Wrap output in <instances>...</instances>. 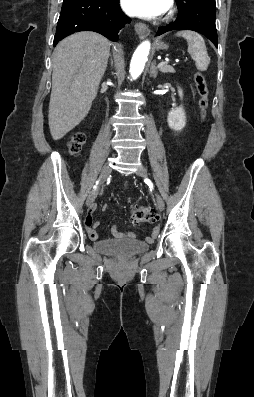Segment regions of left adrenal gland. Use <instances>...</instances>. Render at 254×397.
<instances>
[{
    "label": "left adrenal gland",
    "instance_id": "a2214340",
    "mask_svg": "<svg viewBox=\"0 0 254 397\" xmlns=\"http://www.w3.org/2000/svg\"><path fill=\"white\" fill-rule=\"evenodd\" d=\"M150 76L153 78L157 77L158 74V69L156 67V61H153L150 67V72H149Z\"/></svg>",
    "mask_w": 254,
    "mask_h": 397
}]
</instances>
